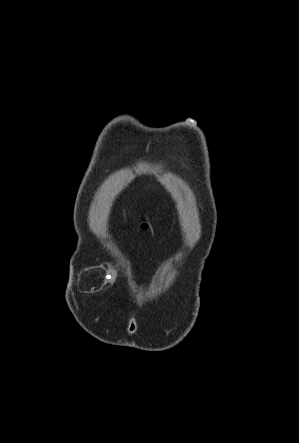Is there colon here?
<instances>
[{
  "label": "colon",
  "mask_w": 299,
  "mask_h": 443,
  "mask_svg": "<svg viewBox=\"0 0 299 443\" xmlns=\"http://www.w3.org/2000/svg\"><path fill=\"white\" fill-rule=\"evenodd\" d=\"M142 227L147 228V224L146 223L142 224Z\"/></svg>",
  "instance_id": "obj_1"
}]
</instances>
